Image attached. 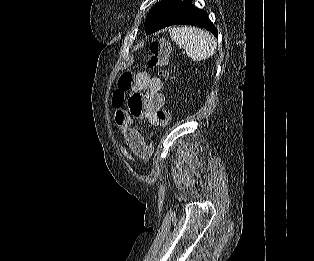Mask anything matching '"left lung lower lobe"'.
<instances>
[{
    "label": "left lung lower lobe",
    "mask_w": 314,
    "mask_h": 261,
    "mask_svg": "<svg viewBox=\"0 0 314 261\" xmlns=\"http://www.w3.org/2000/svg\"><path fill=\"white\" fill-rule=\"evenodd\" d=\"M187 24L203 27L218 36V31L209 20L207 13L204 10L198 9L193 6L189 0H184L176 12V14L165 24L166 26ZM163 27V28H164Z\"/></svg>",
    "instance_id": "left-lung-lower-lobe-1"
}]
</instances>
